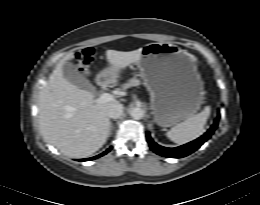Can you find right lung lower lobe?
<instances>
[{"label": "right lung lower lobe", "instance_id": "obj_1", "mask_svg": "<svg viewBox=\"0 0 260 205\" xmlns=\"http://www.w3.org/2000/svg\"><path fill=\"white\" fill-rule=\"evenodd\" d=\"M111 149H112V147H110L109 149H107L105 152H103V153L100 154V155H97V156L92 157V158L80 159L79 161H88V160L96 159V158H98V157H101V156L105 155V154L108 153Z\"/></svg>", "mask_w": 260, "mask_h": 205}]
</instances>
